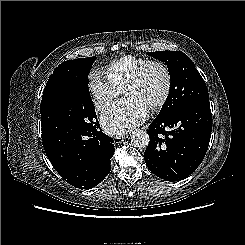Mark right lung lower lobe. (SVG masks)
I'll list each match as a JSON object with an SVG mask.
<instances>
[{
    "mask_svg": "<svg viewBox=\"0 0 245 245\" xmlns=\"http://www.w3.org/2000/svg\"><path fill=\"white\" fill-rule=\"evenodd\" d=\"M42 144L54 169L76 188L95 187L111 170L113 140L99 130L97 120L87 128H42Z\"/></svg>",
    "mask_w": 245,
    "mask_h": 245,
    "instance_id": "98d812e1",
    "label": "right lung lower lobe"
}]
</instances>
